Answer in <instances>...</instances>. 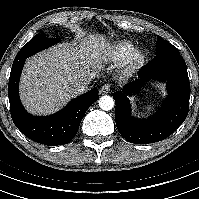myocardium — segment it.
Masks as SVG:
<instances>
[{
	"instance_id": "obj_1",
	"label": "myocardium",
	"mask_w": 199,
	"mask_h": 199,
	"mask_svg": "<svg viewBox=\"0 0 199 199\" xmlns=\"http://www.w3.org/2000/svg\"><path fill=\"white\" fill-rule=\"evenodd\" d=\"M144 59L142 50L133 48L120 64L122 74L128 76L135 73L142 66Z\"/></svg>"
}]
</instances>
